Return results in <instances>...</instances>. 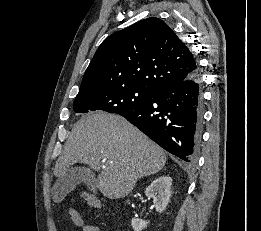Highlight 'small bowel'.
<instances>
[{
  "instance_id": "1",
  "label": "small bowel",
  "mask_w": 261,
  "mask_h": 231,
  "mask_svg": "<svg viewBox=\"0 0 261 231\" xmlns=\"http://www.w3.org/2000/svg\"><path fill=\"white\" fill-rule=\"evenodd\" d=\"M69 214L71 215L75 226L80 228L75 231H100V229L96 226L84 225L81 215L75 209L69 208Z\"/></svg>"
}]
</instances>
